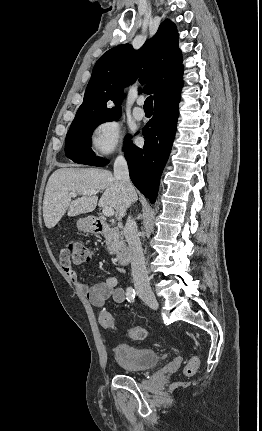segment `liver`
<instances>
[{"label":"liver","instance_id":"6515ba94","mask_svg":"<svg viewBox=\"0 0 262 431\" xmlns=\"http://www.w3.org/2000/svg\"><path fill=\"white\" fill-rule=\"evenodd\" d=\"M104 191L99 202L96 195H83L72 200L70 192ZM137 200L135 190L128 195L123 185L104 169L60 168L49 178L43 201V218L47 228L54 227L67 211L68 216L92 212L98 206L112 207L122 218L131 202Z\"/></svg>","mask_w":262,"mask_h":431}]
</instances>
